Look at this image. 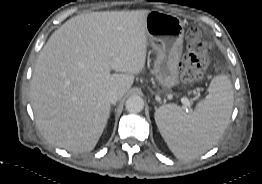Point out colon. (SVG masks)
Here are the masks:
<instances>
[{
	"mask_svg": "<svg viewBox=\"0 0 262 184\" xmlns=\"http://www.w3.org/2000/svg\"><path fill=\"white\" fill-rule=\"evenodd\" d=\"M187 53L181 62V78L191 84L203 79L208 66L209 43L203 34L195 28L187 33Z\"/></svg>",
	"mask_w": 262,
	"mask_h": 184,
	"instance_id": "colon-1",
	"label": "colon"
}]
</instances>
